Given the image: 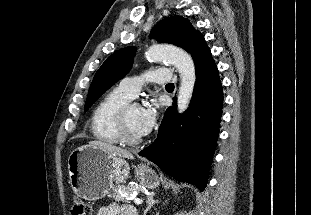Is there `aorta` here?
<instances>
[{
	"label": "aorta",
	"mask_w": 311,
	"mask_h": 215,
	"mask_svg": "<svg viewBox=\"0 0 311 215\" xmlns=\"http://www.w3.org/2000/svg\"><path fill=\"white\" fill-rule=\"evenodd\" d=\"M146 57L153 61H167L178 69L181 81L177 108L179 113L184 112L189 106L196 81L192 57L183 49L172 45H153L147 50Z\"/></svg>",
	"instance_id": "1"
}]
</instances>
